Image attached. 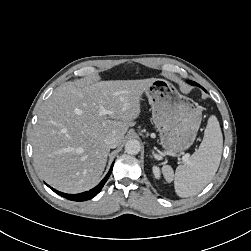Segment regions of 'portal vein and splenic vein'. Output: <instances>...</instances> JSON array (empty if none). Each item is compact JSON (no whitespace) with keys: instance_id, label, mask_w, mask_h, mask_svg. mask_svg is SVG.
Segmentation results:
<instances>
[{"instance_id":"portal-vein-and-splenic-vein-1","label":"portal vein and splenic vein","mask_w":251,"mask_h":251,"mask_svg":"<svg viewBox=\"0 0 251 251\" xmlns=\"http://www.w3.org/2000/svg\"><path fill=\"white\" fill-rule=\"evenodd\" d=\"M110 113H111L110 111H108V110L104 109L103 107H101V109H100V114H101V115H106V114H110ZM188 158H189V155H188V154H185V155L182 157V160H183L184 162H188Z\"/></svg>"}]
</instances>
